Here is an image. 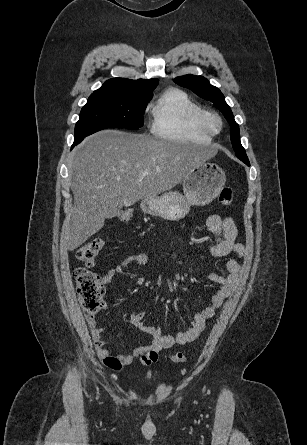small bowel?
Segmentation results:
<instances>
[{"label":"small bowel","instance_id":"1","mask_svg":"<svg viewBox=\"0 0 307 445\" xmlns=\"http://www.w3.org/2000/svg\"><path fill=\"white\" fill-rule=\"evenodd\" d=\"M206 226L212 236V245L208 251L209 257L223 258L232 253L239 256L243 255L244 248L242 244L236 242L238 232L231 217L222 218L217 214H211L206 219ZM152 262V259L146 254H130L103 275L102 283L106 284L119 275L133 277L135 274L129 270L131 267L148 266ZM239 273V262L235 259H228L224 262V273L210 272L208 274V278L220 287L212 296L210 305L193 317L189 329L184 332L176 335H162L159 327L143 323L144 311L131 314L130 323L136 329L148 334L151 337V342L144 346L135 347L128 354H111L106 348V342L102 338L103 330L97 326L96 319L94 317L88 318V326L98 357L108 368L119 371L122 367L130 365L137 357L140 358L142 364L149 365L157 361L158 353L162 349H169L194 341L204 330L206 321L213 317L215 310L220 308L230 296Z\"/></svg>","mask_w":307,"mask_h":445}]
</instances>
